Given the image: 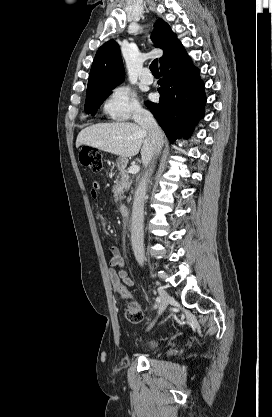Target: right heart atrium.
Returning <instances> with one entry per match:
<instances>
[{"mask_svg": "<svg viewBox=\"0 0 272 417\" xmlns=\"http://www.w3.org/2000/svg\"><path fill=\"white\" fill-rule=\"evenodd\" d=\"M103 108L110 118L117 121L129 120L143 113L135 92L124 84L116 86L110 92Z\"/></svg>", "mask_w": 272, "mask_h": 417, "instance_id": "d8ad5b80", "label": "right heart atrium"}]
</instances>
